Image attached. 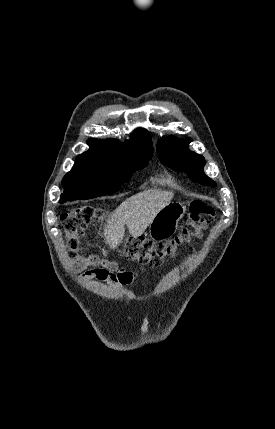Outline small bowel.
<instances>
[{"label":"small bowel","instance_id":"small-bowel-1","mask_svg":"<svg viewBox=\"0 0 275 429\" xmlns=\"http://www.w3.org/2000/svg\"><path fill=\"white\" fill-rule=\"evenodd\" d=\"M121 271L123 272V277H117L113 272L103 268L88 270L82 276L84 279H95L97 282H107L121 288L124 285L130 284L134 279L132 273L123 269Z\"/></svg>","mask_w":275,"mask_h":429}]
</instances>
